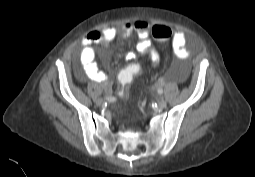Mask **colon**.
Here are the masks:
<instances>
[{
	"label": "colon",
	"instance_id": "5ec220e1",
	"mask_svg": "<svg viewBox=\"0 0 255 177\" xmlns=\"http://www.w3.org/2000/svg\"><path fill=\"white\" fill-rule=\"evenodd\" d=\"M152 35L157 40H167L171 37L172 31L165 25H155L152 28ZM141 71V65L138 62H133L125 67L118 75V81L121 85L120 95L128 93L129 85L133 77Z\"/></svg>",
	"mask_w": 255,
	"mask_h": 177
}]
</instances>
